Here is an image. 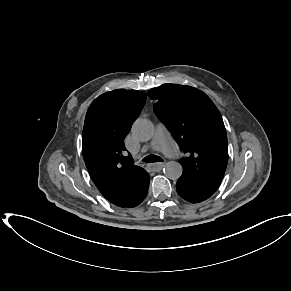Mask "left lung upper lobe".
<instances>
[{
  "mask_svg": "<svg viewBox=\"0 0 291 291\" xmlns=\"http://www.w3.org/2000/svg\"><path fill=\"white\" fill-rule=\"evenodd\" d=\"M154 112L170 129L186 157L182 176L216 191L228 162L226 129L212 100L191 86L163 84L148 91Z\"/></svg>",
  "mask_w": 291,
  "mask_h": 291,
  "instance_id": "1",
  "label": "left lung upper lobe"
}]
</instances>
